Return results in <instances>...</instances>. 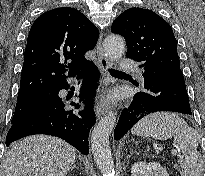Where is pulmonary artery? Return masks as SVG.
Masks as SVG:
<instances>
[{"instance_id": "pulmonary-artery-1", "label": "pulmonary artery", "mask_w": 205, "mask_h": 176, "mask_svg": "<svg viewBox=\"0 0 205 176\" xmlns=\"http://www.w3.org/2000/svg\"><path fill=\"white\" fill-rule=\"evenodd\" d=\"M120 69L123 71L135 72L139 76V78L142 79V74H141V71H140L138 65L133 63V61L126 56H122L120 58Z\"/></svg>"}]
</instances>
